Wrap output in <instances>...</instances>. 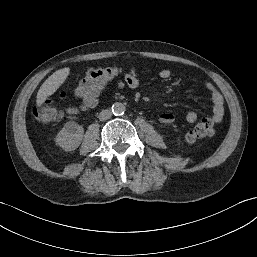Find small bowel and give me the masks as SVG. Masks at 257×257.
<instances>
[{
    "mask_svg": "<svg viewBox=\"0 0 257 257\" xmlns=\"http://www.w3.org/2000/svg\"><path fill=\"white\" fill-rule=\"evenodd\" d=\"M175 73V71L173 69H163L160 71L159 76L162 79H168L170 78L173 74ZM117 85L119 88H124L125 86L129 87V88H137L139 85V78L137 75V72L135 70H132L131 72H129L126 77L125 80H119L117 82ZM204 88L206 89V91L209 93L210 95V99L212 102V119L215 122H220L224 116V99L223 96L221 95V93L217 90V88L214 86V84L210 81H205L204 82ZM186 121L189 123H194L198 116L196 114V112L194 111H190L186 114ZM175 117L172 113L169 112H164L162 114H160L159 116V122L164 124V125H170L174 122Z\"/></svg>",
    "mask_w": 257,
    "mask_h": 257,
    "instance_id": "obj_1",
    "label": "small bowel"
}]
</instances>
